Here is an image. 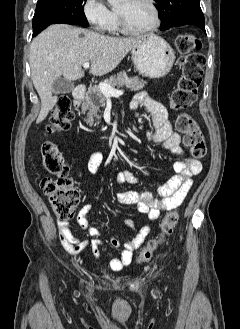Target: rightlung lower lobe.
Here are the masks:
<instances>
[{"instance_id":"98d812e1","label":"right lung lower lobe","mask_w":240,"mask_h":329,"mask_svg":"<svg viewBox=\"0 0 240 329\" xmlns=\"http://www.w3.org/2000/svg\"><path fill=\"white\" fill-rule=\"evenodd\" d=\"M49 25L50 24H42V25L36 27L35 29H33V36H36L39 32H41L43 29H45Z\"/></svg>"}]
</instances>
